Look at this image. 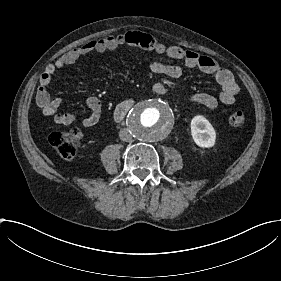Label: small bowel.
I'll use <instances>...</instances> for the list:
<instances>
[{
    "instance_id": "1",
    "label": "small bowel",
    "mask_w": 281,
    "mask_h": 281,
    "mask_svg": "<svg viewBox=\"0 0 281 281\" xmlns=\"http://www.w3.org/2000/svg\"><path fill=\"white\" fill-rule=\"evenodd\" d=\"M133 46L144 50L155 51L168 59L181 61L186 67L198 69L204 73L212 74L221 86L220 99L224 104L234 103L239 91L238 83L228 69L222 68L212 58L202 56L193 50H186L179 45H169L159 37L141 30H129L121 35L109 34L100 40L89 41L80 47L71 50L69 53L58 59L49 66L41 75L37 91L36 103L45 116H53V123L59 126H68L76 121L74 114H55L63 104L61 95L50 98L49 86L56 71L66 65L75 63L79 58L91 53H104L115 50L117 47ZM151 70L155 75L168 78H179L182 75V67L179 65L156 61L152 63ZM152 89L157 94H167L169 88L163 82H155ZM172 96L184 101L191 99L194 103L207 109H215L218 106L216 95L194 91L189 94L172 92ZM88 115L82 120L84 127H92L97 124L101 117V102L96 96H89L86 100Z\"/></svg>"
}]
</instances>
